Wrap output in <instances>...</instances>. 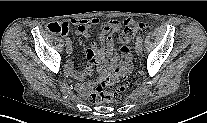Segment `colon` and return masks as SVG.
Wrapping results in <instances>:
<instances>
[{
  "mask_svg": "<svg viewBox=\"0 0 207 123\" xmlns=\"http://www.w3.org/2000/svg\"><path fill=\"white\" fill-rule=\"evenodd\" d=\"M50 32H60V22H52L47 25ZM146 29L143 22L137 21L132 26L126 27L119 37V46L125 54L129 51V44L135 35ZM130 88V83L123 80L119 75L108 77L101 85H98L91 94V100L94 103H112L120 98V94Z\"/></svg>",
  "mask_w": 207,
  "mask_h": 123,
  "instance_id": "1",
  "label": "colon"
}]
</instances>
